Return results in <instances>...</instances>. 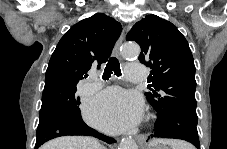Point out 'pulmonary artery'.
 <instances>
[{"label": "pulmonary artery", "mask_w": 227, "mask_h": 149, "mask_svg": "<svg viewBox=\"0 0 227 149\" xmlns=\"http://www.w3.org/2000/svg\"><path fill=\"white\" fill-rule=\"evenodd\" d=\"M126 73L130 82H143L147 79L148 70L142 64L130 63L126 66ZM91 83L86 87L88 92L98 89L102 82L100 79L92 76Z\"/></svg>", "instance_id": "obj_1"}]
</instances>
